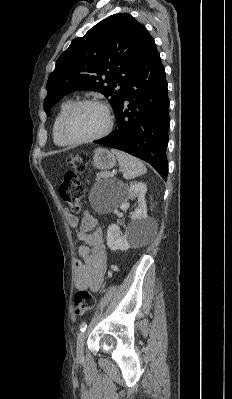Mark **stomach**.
<instances>
[{"mask_svg": "<svg viewBox=\"0 0 232 399\" xmlns=\"http://www.w3.org/2000/svg\"><path fill=\"white\" fill-rule=\"evenodd\" d=\"M92 164L94 168H98V170H111L116 164V158L109 150L96 148V150H94Z\"/></svg>", "mask_w": 232, "mask_h": 399, "instance_id": "0dacf381", "label": "stomach"}]
</instances>
